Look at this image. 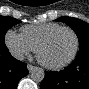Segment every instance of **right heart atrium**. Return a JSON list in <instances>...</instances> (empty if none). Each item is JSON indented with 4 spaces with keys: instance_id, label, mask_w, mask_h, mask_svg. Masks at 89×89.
Returning <instances> with one entry per match:
<instances>
[{
    "instance_id": "obj_1",
    "label": "right heart atrium",
    "mask_w": 89,
    "mask_h": 89,
    "mask_svg": "<svg viewBox=\"0 0 89 89\" xmlns=\"http://www.w3.org/2000/svg\"><path fill=\"white\" fill-rule=\"evenodd\" d=\"M4 42L9 52L19 59L35 51L33 46L21 34L13 30H8L5 33Z\"/></svg>"
}]
</instances>
